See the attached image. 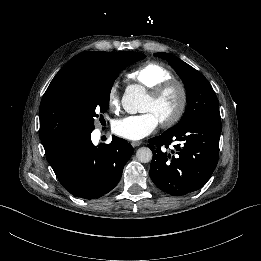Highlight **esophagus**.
<instances>
[{
    "label": "esophagus",
    "mask_w": 261,
    "mask_h": 261,
    "mask_svg": "<svg viewBox=\"0 0 261 261\" xmlns=\"http://www.w3.org/2000/svg\"><path fill=\"white\" fill-rule=\"evenodd\" d=\"M141 141H132L131 142V145L133 146V147H137V146H139V145H141Z\"/></svg>",
    "instance_id": "esophagus-1"
}]
</instances>
